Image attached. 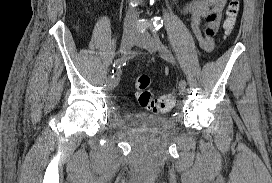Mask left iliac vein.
Masks as SVG:
<instances>
[{
    "instance_id": "1",
    "label": "left iliac vein",
    "mask_w": 272,
    "mask_h": 183,
    "mask_svg": "<svg viewBox=\"0 0 272 183\" xmlns=\"http://www.w3.org/2000/svg\"><path fill=\"white\" fill-rule=\"evenodd\" d=\"M136 45L147 49L149 52L154 53L158 49V43L149 33L144 32L136 36ZM179 93L184 95L187 93L186 88H180Z\"/></svg>"
}]
</instances>
